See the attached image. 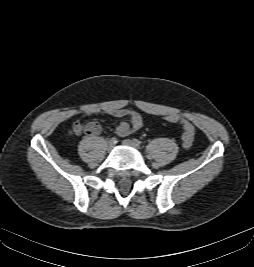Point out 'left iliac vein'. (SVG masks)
Masks as SVG:
<instances>
[{"label": "left iliac vein", "instance_id": "obj_1", "mask_svg": "<svg viewBox=\"0 0 254 267\" xmlns=\"http://www.w3.org/2000/svg\"><path fill=\"white\" fill-rule=\"evenodd\" d=\"M122 143H123L124 145H126V146L136 147V145L134 144V142L131 141V140H129V139H125V140H123Z\"/></svg>", "mask_w": 254, "mask_h": 267}]
</instances>
